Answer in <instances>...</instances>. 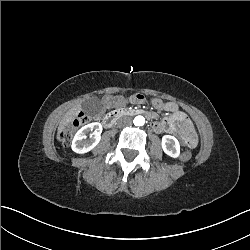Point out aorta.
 Masks as SVG:
<instances>
[{
    "mask_svg": "<svg viewBox=\"0 0 250 250\" xmlns=\"http://www.w3.org/2000/svg\"><path fill=\"white\" fill-rule=\"evenodd\" d=\"M142 117V116H141ZM142 122V124L140 125V123ZM144 122H145V119H144V117H142V118H139L138 120H137V122H134V124L135 125H138V126H142L143 124H144Z\"/></svg>",
    "mask_w": 250,
    "mask_h": 250,
    "instance_id": "aorta-1",
    "label": "aorta"
}]
</instances>
